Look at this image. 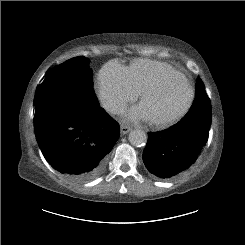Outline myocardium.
Instances as JSON below:
<instances>
[{"label":"myocardium","instance_id":"obj_1","mask_svg":"<svg viewBox=\"0 0 245 245\" xmlns=\"http://www.w3.org/2000/svg\"><path fill=\"white\" fill-rule=\"evenodd\" d=\"M173 76H180V77L184 78V80L186 81V83L190 89V97H189L186 105L183 107V109L180 110L175 115L168 117V118H164V119L149 120V123L155 127L164 128V127H168V126H171V125L177 123L190 111V109H191V107L195 101L196 92H195V88H194L191 80L189 79V77L179 70H172V71L165 73L162 76H160L153 84H151L150 86H148L147 88H145L141 92L140 104H142L144 102V100L147 97H149L150 95L155 94L158 91H160L161 88L163 87V85Z\"/></svg>","mask_w":245,"mask_h":245}]
</instances>
